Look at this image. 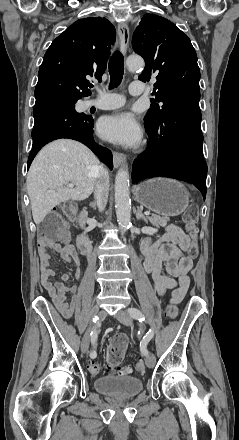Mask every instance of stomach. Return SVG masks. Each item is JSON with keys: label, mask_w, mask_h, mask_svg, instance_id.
Instances as JSON below:
<instances>
[{"label": "stomach", "mask_w": 239, "mask_h": 440, "mask_svg": "<svg viewBox=\"0 0 239 440\" xmlns=\"http://www.w3.org/2000/svg\"><path fill=\"white\" fill-rule=\"evenodd\" d=\"M135 200L160 216H179L189 204L183 184L169 178H152L133 188Z\"/></svg>", "instance_id": "0dacf381"}]
</instances>
